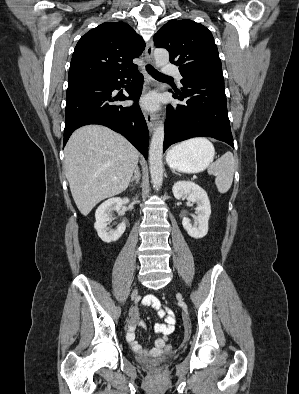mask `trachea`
Here are the masks:
<instances>
[{
  "instance_id": "trachea-1",
  "label": "trachea",
  "mask_w": 299,
  "mask_h": 394,
  "mask_svg": "<svg viewBox=\"0 0 299 394\" xmlns=\"http://www.w3.org/2000/svg\"><path fill=\"white\" fill-rule=\"evenodd\" d=\"M146 70H147L148 73H149L152 77H154L155 79H172V78L169 77V76H166V75H164V74H161L160 72H158L155 68H153V67L150 66V65H147V66H146Z\"/></svg>"
}]
</instances>
